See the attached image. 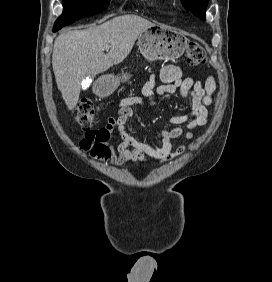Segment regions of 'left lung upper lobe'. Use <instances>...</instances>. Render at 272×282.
<instances>
[{"label":"left lung upper lobe","instance_id":"obj_1","mask_svg":"<svg viewBox=\"0 0 272 282\" xmlns=\"http://www.w3.org/2000/svg\"><path fill=\"white\" fill-rule=\"evenodd\" d=\"M208 1L209 0H181L187 11H191L202 20H205V12Z\"/></svg>","mask_w":272,"mask_h":282}]
</instances>
